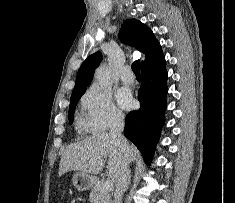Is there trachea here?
<instances>
[{
	"label": "trachea",
	"instance_id": "trachea-1",
	"mask_svg": "<svg viewBox=\"0 0 235 203\" xmlns=\"http://www.w3.org/2000/svg\"><path fill=\"white\" fill-rule=\"evenodd\" d=\"M131 68L136 76H140V64L138 60L133 62Z\"/></svg>",
	"mask_w": 235,
	"mask_h": 203
}]
</instances>
